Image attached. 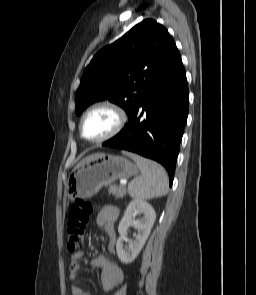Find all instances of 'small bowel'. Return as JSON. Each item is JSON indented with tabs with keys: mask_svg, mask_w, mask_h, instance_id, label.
Masks as SVG:
<instances>
[{
	"mask_svg": "<svg viewBox=\"0 0 256 295\" xmlns=\"http://www.w3.org/2000/svg\"><path fill=\"white\" fill-rule=\"evenodd\" d=\"M119 217V210L116 207L106 206L102 208L97 215V224L102 226L109 237L108 248L110 251L114 249L116 242L115 222ZM84 253L79 251L72 256L69 265V279L71 281L73 295H90L77 282L80 263L78 262ZM91 267L101 268L100 282L104 292L111 294L114 288L122 281L123 271L119 266L114 264L106 257L100 256L91 260Z\"/></svg>",
	"mask_w": 256,
	"mask_h": 295,
	"instance_id": "c3829d8e",
	"label": "small bowel"
}]
</instances>
